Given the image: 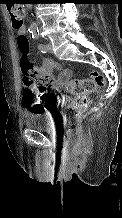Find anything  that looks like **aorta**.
<instances>
[{
  "mask_svg": "<svg viewBox=\"0 0 122 218\" xmlns=\"http://www.w3.org/2000/svg\"><path fill=\"white\" fill-rule=\"evenodd\" d=\"M30 29L33 30V31L37 30V25H36V23H31Z\"/></svg>",
  "mask_w": 122,
  "mask_h": 218,
  "instance_id": "obj_1",
  "label": "aorta"
}]
</instances>
